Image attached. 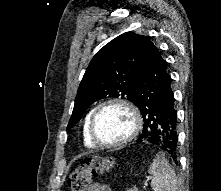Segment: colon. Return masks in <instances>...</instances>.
<instances>
[{
    "label": "colon",
    "mask_w": 221,
    "mask_h": 191,
    "mask_svg": "<svg viewBox=\"0 0 221 191\" xmlns=\"http://www.w3.org/2000/svg\"><path fill=\"white\" fill-rule=\"evenodd\" d=\"M114 159L109 157H91L81 161L69 180L71 191H89L92 178L108 172L114 166ZM103 191H111L107 185Z\"/></svg>",
    "instance_id": "obj_1"
}]
</instances>
